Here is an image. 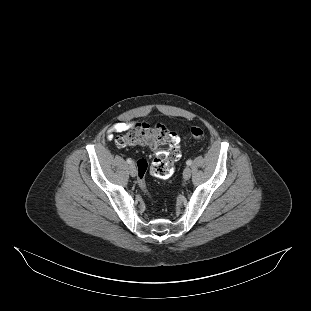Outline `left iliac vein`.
Segmentation results:
<instances>
[{
    "label": "left iliac vein",
    "instance_id": "4c4485c4",
    "mask_svg": "<svg viewBox=\"0 0 311 311\" xmlns=\"http://www.w3.org/2000/svg\"><path fill=\"white\" fill-rule=\"evenodd\" d=\"M191 177V169L189 167H186L183 171V178L185 180H188Z\"/></svg>",
    "mask_w": 311,
    "mask_h": 311
}]
</instances>
